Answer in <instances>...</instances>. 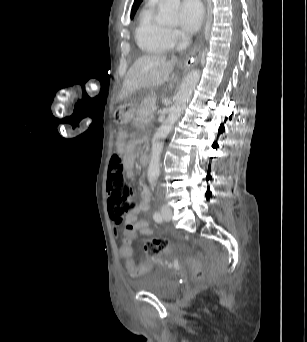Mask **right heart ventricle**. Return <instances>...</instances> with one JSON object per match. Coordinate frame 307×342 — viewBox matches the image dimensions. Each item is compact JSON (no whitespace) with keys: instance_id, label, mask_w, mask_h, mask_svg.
I'll list each match as a JSON object with an SVG mask.
<instances>
[{"instance_id":"right-heart-ventricle-1","label":"right heart ventricle","mask_w":307,"mask_h":342,"mask_svg":"<svg viewBox=\"0 0 307 342\" xmlns=\"http://www.w3.org/2000/svg\"><path fill=\"white\" fill-rule=\"evenodd\" d=\"M135 43L140 53L146 57L166 52L165 40L153 11L145 14V21L136 29Z\"/></svg>"}]
</instances>
